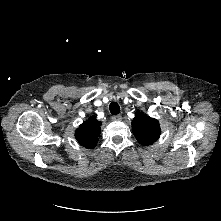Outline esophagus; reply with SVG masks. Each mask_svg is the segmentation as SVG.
<instances>
[{
	"label": "esophagus",
	"instance_id": "esophagus-1",
	"mask_svg": "<svg viewBox=\"0 0 221 221\" xmlns=\"http://www.w3.org/2000/svg\"><path fill=\"white\" fill-rule=\"evenodd\" d=\"M112 120L120 121V120H122V116L121 115H114V116H112Z\"/></svg>",
	"mask_w": 221,
	"mask_h": 221
}]
</instances>
